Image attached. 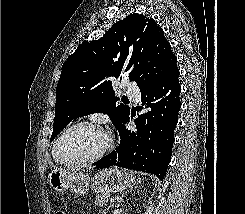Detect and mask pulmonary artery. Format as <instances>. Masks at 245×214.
<instances>
[{"instance_id": "e3ab8cb5", "label": "pulmonary artery", "mask_w": 245, "mask_h": 214, "mask_svg": "<svg viewBox=\"0 0 245 214\" xmlns=\"http://www.w3.org/2000/svg\"><path fill=\"white\" fill-rule=\"evenodd\" d=\"M126 94L129 98L139 101L140 100V91L138 87L133 83H128L126 87Z\"/></svg>"}]
</instances>
